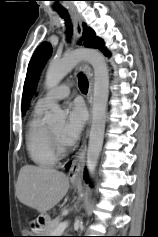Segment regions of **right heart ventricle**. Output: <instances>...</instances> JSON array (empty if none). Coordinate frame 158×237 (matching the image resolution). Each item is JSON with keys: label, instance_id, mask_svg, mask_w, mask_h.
<instances>
[{"label": "right heart ventricle", "instance_id": "e07e8e85", "mask_svg": "<svg viewBox=\"0 0 158 237\" xmlns=\"http://www.w3.org/2000/svg\"><path fill=\"white\" fill-rule=\"evenodd\" d=\"M46 107L36 105L26 132V147L31 160L39 166H53L57 156L49 139V129L43 122Z\"/></svg>", "mask_w": 158, "mask_h": 237}]
</instances>
